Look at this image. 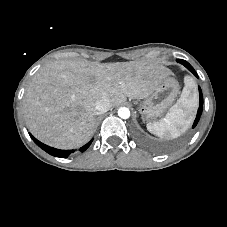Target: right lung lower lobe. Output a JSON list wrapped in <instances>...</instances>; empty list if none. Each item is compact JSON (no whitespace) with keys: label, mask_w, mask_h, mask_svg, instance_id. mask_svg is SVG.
<instances>
[{"label":"right lung lower lobe","mask_w":227,"mask_h":227,"mask_svg":"<svg viewBox=\"0 0 227 227\" xmlns=\"http://www.w3.org/2000/svg\"><path fill=\"white\" fill-rule=\"evenodd\" d=\"M30 137L40 148H42L44 151H46L47 153H49L55 157L66 158V157H68L69 154L74 152V150H60V149H56V148L47 146V145L41 143L40 141H38L32 134H30ZM92 141H93V139L90 142H88L86 145L81 147L80 151L81 152L85 151L90 146Z\"/></svg>","instance_id":"1"}]
</instances>
